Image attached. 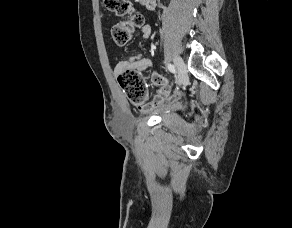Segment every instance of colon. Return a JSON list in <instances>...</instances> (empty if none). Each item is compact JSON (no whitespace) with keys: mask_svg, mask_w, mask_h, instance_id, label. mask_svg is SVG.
Returning a JSON list of instances; mask_svg holds the SVG:
<instances>
[{"mask_svg":"<svg viewBox=\"0 0 292 228\" xmlns=\"http://www.w3.org/2000/svg\"><path fill=\"white\" fill-rule=\"evenodd\" d=\"M106 8L118 16H127L111 27L110 34L118 46L127 44L136 27L143 25V18L135 13L129 0H104ZM118 83L129 101L135 106H142L147 100V90L143 76L136 70H125L118 75Z\"/></svg>","mask_w":292,"mask_h":228,"instance_id":"colon-1","label":"colon"}]
</instances>
